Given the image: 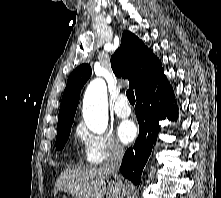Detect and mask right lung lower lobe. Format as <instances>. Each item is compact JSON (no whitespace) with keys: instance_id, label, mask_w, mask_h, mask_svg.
I'll use <instances>...</instances> for the list:
<instances>
[{"instance_id":"right-lung-lower-lobe-1","label":"right lung lower lobe","mask_w":221,"mask_h":198,"mask_svg":"<svg viewBox=\"0 0 221 198\" xmlns=\"http://www.w3.org/2000/svg\"><path fill=\"white\" fill-rule=\"evenodd\" d=\"M135 113L139 123V136L134 147L123 157L121 173L135 185L140 184L142 170L151 154L158 133V121L177 118L175 97L162 72L145 89L136 94Z\"/></svg>"}]
</instances>
